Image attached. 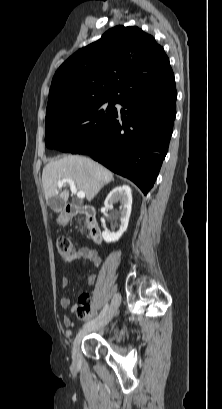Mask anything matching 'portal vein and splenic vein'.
Returning a JSON list of instances; mask_svg holds the SVG:
<instances>
[{"mask_svg":"<svg viewBox=\"0 0 222 409\" xmlns=\"http://www.w3.org/2000/svg\"><path fill=\"white\" fill-rule=\"evenodd\" d=\"M65 183H68V184L70 185L71 192L74 193V194H76L78 198H80V199L85 198V193H84L83 191H77V188H76V186H75V182H74L72 179H69V178H63V179H61V180L58 182V188L61 189L62 186H63Z\"/></svg>","mask_w":222,"mask_h":409,"instance_id":"18ae733b","label":"portal vein and splenic vein"}]
</instances>
